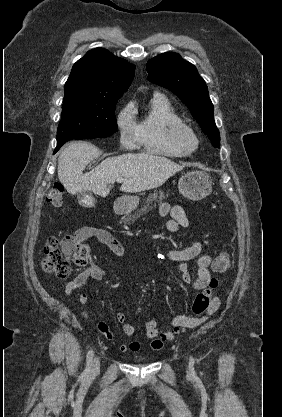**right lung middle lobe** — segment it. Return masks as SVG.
Returning a JSON list of instances; mask_svg holds the SVG:
<instances>
[{
  "instance_id": "1",
  "label": "right lung middle lobe",
  "mask_w": 282,
  "mask_h": 417,
  "mask_svg": "<svg viewBox=\"0 0 282 417\" xmlns=\"http://www.w3.org/2000/svg\"><path fill=\"white\" fill-rule=\"evenodd\" d=\"M122 94H64L57 143L104 138L117 130L115 105Z\"/></svg>"
}]
</instances>
